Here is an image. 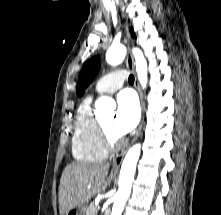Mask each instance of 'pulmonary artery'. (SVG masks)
Listing matches in <instances>:
<instances>
[{
  "label": "pulmonary artery",
  "mask_w": 221,
  "mask_h": 215,
  "mask_svg": "<svg viewBox=\"0 0 221 215\" xmlns=\"http://www.w3.org/2000/svg\"><path fill=\"white\" fill-rule=\"evenodd\" d=\"M125 79L126 72L124 70L112 71L97 81L95 93L104 94L115 92L123 86Z\"/></svg>",
  "instance_id": "obj_1"
}]
</instances>
